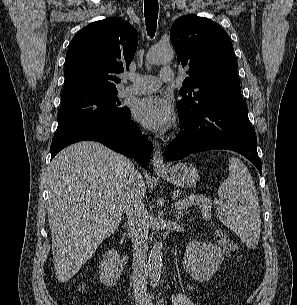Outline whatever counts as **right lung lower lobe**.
<instances>
[{
	"mask_svg": "<svg viewBox=\"0 0 297 305\" xmlns=\"http://www.w3.org/2000/svg\"><path fill=\"white\" fill-rule=\"evenodd\" d=\"M130 119L129 112L124 119L92 121L71 129L63 136L52 139L51 159L71 143L90 140L134 157L144 168L147 167L151 158L152 144Z\"/></svg>",
	"mask_w": 297,
	"mask_h": 305,
	"instance_id": "1",
	"label": "right lung lower lobe"
}]
</instances>
